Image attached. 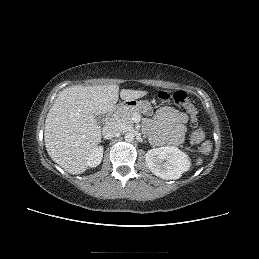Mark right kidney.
I'll return each instance as SVG.
<instances>
[{
	"label": "right kidney",
	"mask_w": 259,
	"mask_h": 259,
	"mask_svg": "<svg viewBox=\"0 0 259 259\" xmlns=\"http://www.w3.org/2000/svg\"><path fill=\"white\" fill-rule=\"evenodd\" d=\"M103 157V147L99 146L93 149V151L90 153L88 157L87 164L89 167H96L98 166Z\"/></svg>",
	"instance_id": "1"
}]
</instances>
